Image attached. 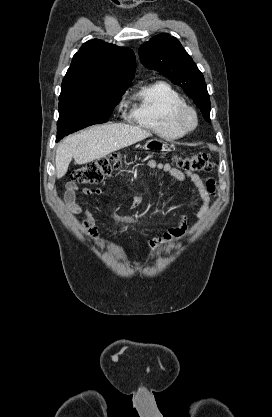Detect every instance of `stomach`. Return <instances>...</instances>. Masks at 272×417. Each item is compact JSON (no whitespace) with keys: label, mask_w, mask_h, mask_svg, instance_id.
<instances>
[{"label":"stomach","mask_w":272,"mask_h":417,"mask_svg":"<svg viewBox=\"0 0 272 417\" xmlns=\"http://www.w3.org/2000/svg\"><path fill=\"white\" fill-rule=\"evenodd\" d=\"M167 148L168 145L159 139H151L144 145V149L148 151H166Z\"/></svg>","instance_id":"stomach-1"}]
</instances>
